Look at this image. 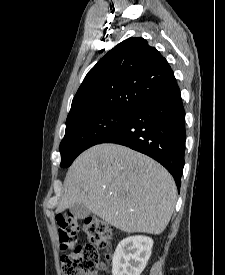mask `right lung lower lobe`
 <instances>
[{
    "instance_id": "98d812e1",
    "label": "right lung lower lobe",
    "mask_w": 225,
    "mask_h": 275,
    "mask_svg": "<svg viewBox=\"0 0 225 275\" xmlns=\"http://www.w3.org/2000/svg\"><path fill=\"white\" fill-rule=\"evenodd\" d=\"M185 111L179 87L133 109L100 143H116L161 163L180 188L185 154Z\"/></svg>"
}]
</instances>
